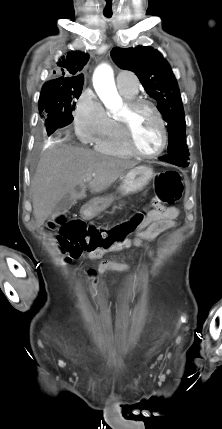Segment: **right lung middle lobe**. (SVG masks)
I'll use <instances>...</instances> for the list:
<instances>
[{
  "label": "right lung middle lobe",
  "mask_w": 222,
  "mask_h": 429,
  "mask_svg": "<svg viewBox=\"0 0 222 429\" xmlns=\"http://www.w3.org/2000/svg\"><path fill=\"white\" fill-rule=\"evenodd\" d=\"M82 88L83 84L42 87L38 106L48 136L65 130L73 121L72 111Z\"/></svg>",
  "instance_id": "obj_1"
}]
</instances>
